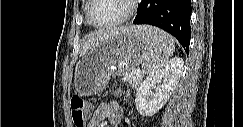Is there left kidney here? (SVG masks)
Listing matches in <instances>:
<instances>
[{"label":"left kidney","mask_w":243,"mask_h":127,"mask_svg":"<svg viewBox=\"0 0 243 127\" xmlns=\"http://www.w3.org/2000/svg\"><path fill=\"white\" fill-rule=\"evenodd\" d=\"M183 66V60L175 57L144 80L135 99L136 109L141 115L152 116L163 107L181 77Z\"/></svg>","instance_id":"obj_1"}]
</instances>
